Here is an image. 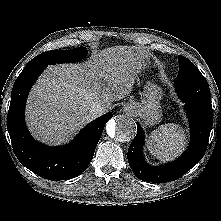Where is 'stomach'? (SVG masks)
Segmentation results:
<instances>
[{
	"instance_id": "0dacf381",
	"label": "stomach",
	"mask_w": 221,
	"mask_h": 221,
	"mask_svg": "<svg viewBox=\"0 0 221 221\" xmlns=\"http://www.w3.org/2000/svg\"><path fill=\"white\" fill-rule=\"evenodd\" d=\"M146 61L144 68H148ZM163 96L162 89L151 82L144 87L141 101H130L124 106L125 112L130 116L139 117L146 125L158 124L162 119L160 100Z\"/></svg>"
}]
</instances>
